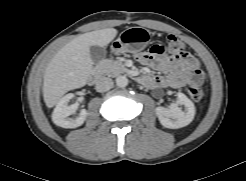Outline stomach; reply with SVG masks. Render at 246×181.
Returning <instances> with one entry per match:
<instances>
[{
  "mask_svg": "<svg viewBox=\"0 0 246 181\" xmlns=\"http://www.w3.org/2000/svg\"><path fill=\"white\" fill-rule=\"evenodd\" d=\"M150 32L142 27H130L121 32L118 39L113 41L111 51L115 54L140 52L150 42Z\"/></svg>",
  "mask_w": 246,
  "mask_h": 181,
  "instance_id": "1",
  "label": "stomach"
}]
</instances>
